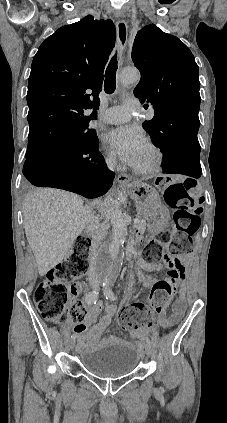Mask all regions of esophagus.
I'll use <instances>...</instances> for the list:
<instances>
[{"instance_id": "obj_1", "label": "esophagus", "mask_w": 227, "mask_h": 423, "mask_svg": "<svg viewBox=\"0 0 227 423\" xmlns=\"http://www.w3.org/2000/svg\"><path fill=\"white\" fill-rule=\"evenodd\" d=\"M117 42L120 55H123L128 39V26L125 20L119 19L116 21ZM119 184L129 183L132 178L125 173H120L117 177Z\"/></svg>"}]
</instances>
